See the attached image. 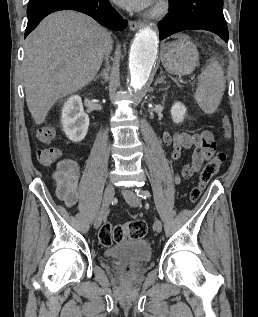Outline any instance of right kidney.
<instances>
[{
    "label": "right kidney",
    "instance_id": "obj_1",
    "mask_svg": "<svg viewBox=\"0 0 258 317\" xmlns=\"http://www.w3.org/2000/svg\"><path fill=\"white\" fill-rule=\"evenodd\" d=\"M61 122L63 130L73 142L83 140L89 126V116L84 112L81 96L73 94L63 104Z\"/></svg>",
    "mask_w": 258,
    "mask_h": 317
}]
</instances>
